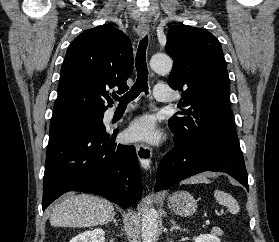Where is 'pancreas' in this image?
I'll list each match as a JSON object with an SVG mask.
<instances>
[{
    "instance_id": "cf45deb5",
    "label": "pancreas",
    "mask_w": 279,
    "mask_h": 242,
    "mask_svg": "<svg viewBox=\"0 0 279 242\" xmlns=\"http://www.w3.org/2000/svg\"><path fill=\"white\" fill-rule=\"evenodd\" d=\"M214 233L217 234V235H222L223 234V232L220 229H215Z\"/></svg>"
}]
</instances>
